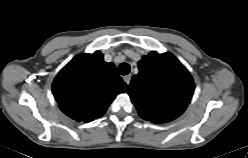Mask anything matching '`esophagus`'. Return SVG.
I'll use <instances>...</instances> for the list:
<instances>
[{"label":"esophagus","instance_id":"1","mask_svg":"<svg viewBox=\"0 0 248 158\" xmlns=\"http://www.w3.org/2000/svg\"><path fill=\"white\" fill-rule=\"evenodd\" d=\"M124 82L129 85L130 81H131V76L130 75H126L123 77Z\"/></svg>","mask_w":248,"mask_h":158}]
</instances>
